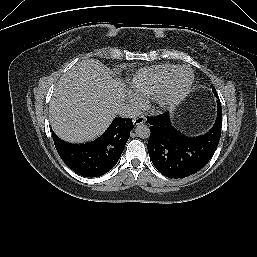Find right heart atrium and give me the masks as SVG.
Here are the masks:
<instances>
[{
  "label": "right heart atrium",
  "mask_w": 257,
  "mask_h": 257,
  "mask_svg": "<svg viewBox=\"0 0 257 257\" xmlns=\"http://www.w3.org/2000/svg\"><path fill=\"white\" fill-rule=\"evenodd\" d=\"M128 100L134 108H140L142 106L141 99L133 93L128 94Z\"/></svg>",
  "instance_id": "right-heart-atrium-1"
}]
</instances>
